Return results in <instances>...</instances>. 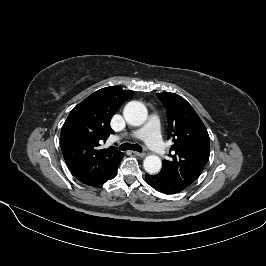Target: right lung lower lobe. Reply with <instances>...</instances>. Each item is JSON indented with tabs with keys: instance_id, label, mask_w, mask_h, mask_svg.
<instances>
[{
	"instance_id": "right-lung-lower-lobe-1",
	"label": "right lung lower lobe",
	"mask_w": 266,
	"mask_h": 266,
	"mask_svg": "<svg viewBox=\"0 0 266 266\" xmlns=\"http://www.w3.org/2000/svg\"><path fill=\"white\" fill-rule=\"evenodd\" d=\"M118 165H119V164H118ZM118 165H117V167L112 171V173H111L109 176H107L106 178L101 179V180H99V181H97V182L91 184V186H97V185H100V184L105 183L106 181H108V180H110V179H113V178L115 177V175H116Z\"/></svg>"
}]
</instances>
